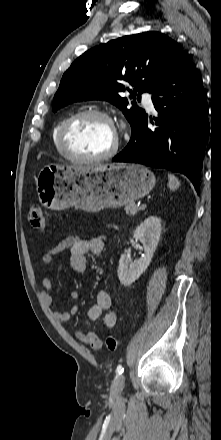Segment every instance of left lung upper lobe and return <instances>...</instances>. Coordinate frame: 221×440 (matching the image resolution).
<instances>
[{"label":"left lung upper lobe","mask_w":221,"mask_h":440,"mask_svg":"<svg viewBox=\"0 0 221 440\" xmlns=\"http://www.w3.org/2000/svg\"><path fill=\"white\" fill-rule=\"evenodd\" d=\"M182 51L168 36L154 31L124 36L94 47L78 57L64 73L54 96L53 111L69 103L100 99L123 110L132 132L145 117L135 102L119 92L128 90L141 100L142 92H152L177 63ZM123 81L135 86L129 90ZM137 92L139 93L137 95Z\"/></svg>","instance_id":"obj_1"}]
</instances>
